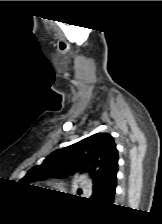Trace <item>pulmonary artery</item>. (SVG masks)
Instances as JSON below:
<instances>
[{
    "instance_id": "obj_1",
    "label": "pulmonary artery",
    "mask_w": 162,
    "mask_h": 224,
    "mask_svg": "<svg viewBox=\"0 0 162 224\" xmlns=\"http://www.w3.org/2000/svg\"><path fill=\"white\" fill-rule=\"evenodd\" d=\"M79 183H80V186L82 187V188H87V187H89L90 185H89V182H88V180H87V178L86 177H80V179H79Z\"/></svg>"
}]
</instances>
